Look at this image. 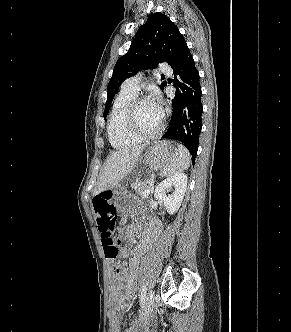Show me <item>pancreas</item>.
Here are the masks:
<instances>
[{"label":"pancreas","mask_w":291,"mask_h":332,"mask_svg":"<svg viewBox=\"0 0 291 332\" xmlns=\"http://www.w3.org/2000/svg\"><path fill=\"white\" fill-rule=\"evenodd\" d=\"M151 186V180H146L143 182H135L131 185L132 190L135 191V193L139 194L140 196H143L145 191L150 188Z\"/></svg>","instance_id":"1"}]
</instances>
